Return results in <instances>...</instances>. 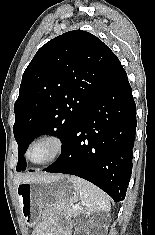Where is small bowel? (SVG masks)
Returning <instances> with one entry per match:
<instances>
[{
    "label": "small bowel",
    "mask_w": 155,
    "mask_h": 235,
    "mask_svg": "<svg viewBox=\"0 0 155 235\" xmlns=\"http://www.w3.org/2000/svg\"><path fill=\"white\" fill-rule=\"evenodd\" d=\"M66 224L67 220L63 216H60L54 210H48L44 215L43 224L34 235H56V227L63 228ZM62 235H68V233L63 232Z\"/></svg>",
    "instance_id": "obj_1"
}]
</instances>
